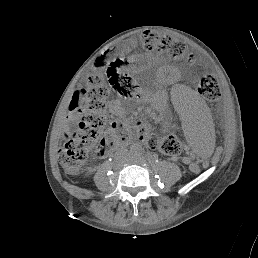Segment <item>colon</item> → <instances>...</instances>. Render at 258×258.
<instances>
[{"label": "colon", "instance_id": "1", "mask_svg": "<svg viewBox=\"0 0 258 258\" xmlns=\"http://www.w3.org/2000/svg\"><path fill=\"white\" fill-rule=\"evenodd\" d=\"M142 45L148 49H161L172 57L185 56L181 44L168 34L145 33L141 37ZM108 84L122 96H129L136 85L134 80L123 69L117 59L101 56L91 66L88 76L73 97L74 108L81 111V123L75 136L66 142L60 152V160L67 174H75L86 161L88 154L104 151L118 142L119 134L110 138L103 133L106 126V107ZM198 91L209 101L220 97L217 79L209 74L201 77ZM135 133L151 148L168 156H177L181 152L179 140L172 135H159L145 124H138Z\"/></svg>", "mask_w": 258, "mask_h": 258}]
</instances>
